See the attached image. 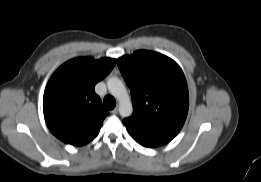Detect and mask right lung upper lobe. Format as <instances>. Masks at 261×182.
I'll return each mask as SVG.
<instances>
[{"mask_svg":"<svg viewBox=\"0 0 261 182\" xmlns=\"http://www.w3.org/2000/svg\"><path fill=\"white\" fill-rule=\"evenodd\" d=\"M115 63L111 58L80 57L54 72L44 91L43 112L49 130L58 139L82 146L98 134L108 112L94 87Z\"/></svg>","mask_w":261,"mask_h":182,"instance_id":"cb5924a9","label":"right lung upper lobe"}]
</instances>
